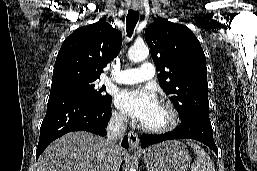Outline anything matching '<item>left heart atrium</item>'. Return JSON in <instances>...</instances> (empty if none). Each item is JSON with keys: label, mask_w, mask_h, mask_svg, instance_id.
<instances>
[{"label": "left heart atrium", "mask_w": 257, "mask_h": 171, "mask_svg": "<svg viewBox=\"0 0 257 171\" xmlns=\"http://www.w3.org/2000/svg\"><path fill=\"white\" fill-rule=\"evenodd\" d=\"M115 104L133 119L144 122L157 106L155 95L145 88H136L120 91Z\"/></svg>", "instance_id": "left-heart-atrium-1"}]
</instances>
